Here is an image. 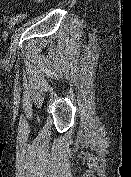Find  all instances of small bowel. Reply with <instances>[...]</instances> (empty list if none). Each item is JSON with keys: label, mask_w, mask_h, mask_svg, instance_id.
Returning <instances> with one entry per match:
<instances>
[{"label": "small bowel", "mask_w": 131, "mask_h": 177, "mask_svg": "<svg viewBox=\"0 0 131 177\" xmlns=\"http://www.w3.org/2000/svg\"><path fill=\"white\" fill-rule=\"evenodd\" d=\"M0 1H2V0H0ZM31 1L34 2V3H42L44 0H31ZM25 17H26V14H22V15L18 16L17 18L22 20ZM7 20H8L7 16H3L2 19H0V22L1 21H7Z\"/></svg>", "instance_id": "1"}]
</instances>
